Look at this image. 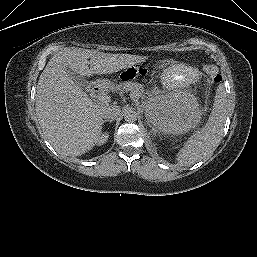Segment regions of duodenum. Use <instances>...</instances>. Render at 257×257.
Instances as JSON below:
<instances>
[{
    "label": "duodenum",
    "instance_id": "obj_1",
    "mask_svg": "<svg viewBox=\"0 0 257 257\" xmlns=\"http://www.w3.org/2000/svg\"><path fill=\"white\" fill-rule=\"evenodd\" d=\"M99 88V85L97 83H92L90 86H89V92L91 94L95 93Z\"/></svg>",
    "mask_w": 257,
    "mask_h": 257
}]
</instances>
